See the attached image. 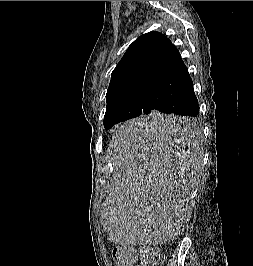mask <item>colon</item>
<instances>
[{"mask_svg":"<svg viewBox=\"0 0 253 266\" xmlns=\"http://www.w3.org/2000/svg\"><path fill=\"white\" fill-rule=\"evenodd\" d=\"M112 257L117 266H128L137 257L138 266H157L163 261V256L157 248H115Z\"/></svg>","mask_w":253,"mask_h":266,"instance_id":"1","label":"colon"}]
</instances>
